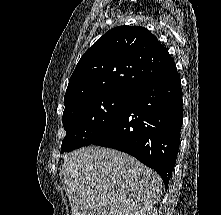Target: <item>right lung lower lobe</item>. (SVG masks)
Returning a JSON list of instances; mask_svg holds the SVG:
<instances>
[{"mask_svg": "<svg viewBox=\"0 0 221 215\" xmlns=\"http://www.w3.org/2000/svg\"><path fill=\"white\" fill-rule=\"evenodd\" d=\"M181 80L175 63L132 94L118 119L93 145L126 152L168 185L182 124Z\"/></svg>", "mask_w": 221, "mask_h": 215, "instance_id": "obj_1", "label": "right lung lower lobe"}]
</instances>
